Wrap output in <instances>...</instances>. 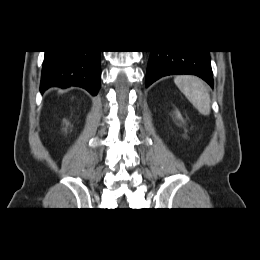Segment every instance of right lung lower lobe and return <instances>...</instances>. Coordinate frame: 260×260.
Listing matches in <instances>:
<instances>
[{
	"label": "right lung lower lobe",
	"instance_id": "obj_1",
	"mask_svg": "<svg viewBox=\"0 0 260 260\" xmlns=\"http://www.w3.org/2000/svg\"><path fill=\"white\" fill-rule=\"evenodd\" d=\"M100 52L45 51L41 92L52 86H78L95 96L100 87Z\"/></svg>",
	"mask_w": 260,
	"mask_h": 260
}]
</instances>
